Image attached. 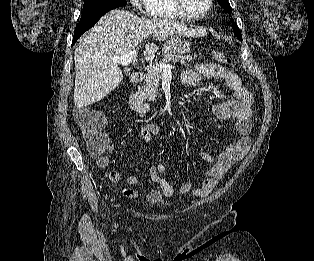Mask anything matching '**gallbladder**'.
I'll return each instance as SVG.
<instances>
[{
    "instance_id": "obj_1",
    "label": "gallbladder",
    "mask_w": 314,
    "mask_h": 261,
    "mask_svg": "<svg viewBox=\"0 0 314 261\" xmlns=\"http://www.w3.org/2000/svg\"><path fill=\"white\" fill-rule=\"evenodd\" d=\"M124 72L126 75H129V73H130L129 70H125Z\"/></svg>"
}]
</instances>
